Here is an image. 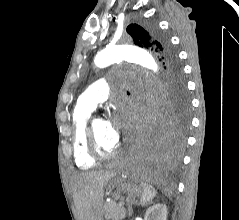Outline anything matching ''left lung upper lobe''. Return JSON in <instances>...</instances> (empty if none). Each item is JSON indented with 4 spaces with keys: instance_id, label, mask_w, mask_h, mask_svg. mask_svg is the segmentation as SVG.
Wrapping results in <instances>:
<instances>
[{
    "instance_id": "5c2ea615",
    "label": "left lung upper lobe",
    "mask_w": 239,
    "mask_h": 220,
    "mask_svg": "<svg viewBox=\"0 0 239 220\" xmlns=\"http://www.w3.org/2000/svg\"><path fill=\"white\" fill-rule=\"evenodd\" d=\"M127 32L132 36L137 46L154 51L163 63L169 78L167 116L178 130H184L188 123L189 102L181 67L169 46L168 39L153 24L145 28L131 24L127 27Z\"/></svg>"
}]
</instances>
